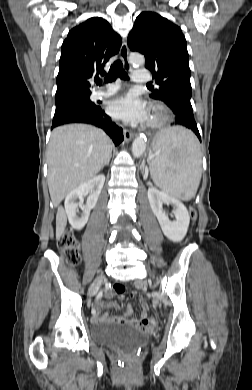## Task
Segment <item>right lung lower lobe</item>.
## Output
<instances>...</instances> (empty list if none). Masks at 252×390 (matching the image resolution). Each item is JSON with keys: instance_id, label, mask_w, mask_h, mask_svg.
Wrapping results in <instances>:
<instances>
[{"instance_id": "98d812e1", "label": "right lung lower lobe", "mask_w": 252, "mask_h": 390, "mask_svg": "<svg viewBox=\"0 0 252 390\" xmlns=\"http://www.w3.org/2000/svg\"><path fill=\"white\" fill-rule=\"evenodd\" d=\"M67 123H87L102 128L119 145L123 137V130L118 127L105 112L96 105L89 106L82 103H69L56 107L52 127Z\"/></svg>"}]
</instances>
